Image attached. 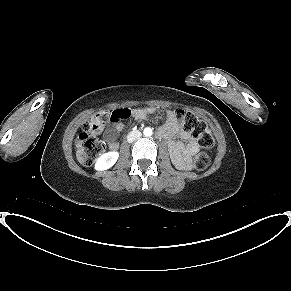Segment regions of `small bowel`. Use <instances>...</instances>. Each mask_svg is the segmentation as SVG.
Masks as SVG:
<instances>
[{
  "label": "small bowel",
  "instance_id": "obj_1",
  "mask_svg": "<svg viewBox=\"0 0 291 291\" xmlns=\"http://www.w3.org/2000/svg\"><path fill=\"white\" fill-rule=\"evenodd\" d=\"M155 111L153 107L138 108L132 111V116L135 119H143L147 115L152 114ZM166 121L165 124L157 131L160 138L169 141L170 151L173 159L182 165L187 167V163L184 158L195 155L199 150L198 143L192 138L190 133L185 131L176 117V113L173 110H163ZM124 130V124L121 120L113 119L112 127L107 131L105 140L110 149H116L118 144L116 141V135ZM179 137L184 141L178 142L175 140Z\"/></svg>",
  "mask_w": 291,
  "mask_h": 291
}]
</instances>
